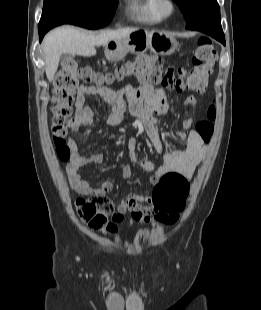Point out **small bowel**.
<instances>
[{
    "mask_svg": "<svg viewBox=\"0 0 261 310\" xmlns=\"http://www.w3.org/2000/svg\"><path fill=\"white\" fill-rule=\"evenodd\" d=\"M88 96H97L115 109V117L110 119L111 122H114L123 112L125 100H127L131 114L136 118L140 126H142L156 150L161 151V141L155 115H164L168 112L169 107L163 91L155 90L147 83H142L137 88L126 86L121 90L81 85L77 91L76 110L68 125L73 132L78 131L82 125L88 126L93 123V110L86 104V98ZM186 104L195 106L197 104L196 97L193 95L188 96ZM192 125L193 121L190 118L183 121V130L178 131L176 135L184 141V146L181 149L165 153L162 164L157 165L147 159L139 160L136 151V140L134 138L128 140L130 160L138 164L145 171H154V175L151 178L153 184H158L159 180L169 172H178L187 179L192 178L196 167L205 156L206 143L209 141L203 139L196 130L191 129ZM67 147L70 151L67 173L70 186L76 193L82 195H105L113 189V183L109 180L103 181L98 186L93 187L87 180L82 178L80 173L81 168L87 164L102 163V154L96 153L89 157L82 156L79 153L76 141L72 138L68 139ZM123 176L124 178L131 176L129 166L123 168ZM144 202L148 204H144ZM127 212L130 213L135 221L148 223L154 216L156 217L159 210L153 205L151 196L130 193L117 204L116 215L118 221Z\"/></svg>",
    "mask_w": 261,
    "mask_h": 310,
    "instance_id": "small-bowel-1",
    "label": "small bowel"
}]
</instances>
